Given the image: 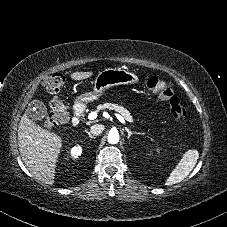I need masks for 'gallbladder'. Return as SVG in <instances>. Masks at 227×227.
Listing matches in <instances>:
<instances>
[{"instance_id": "obj_1", "label": "gallbladder", "mask_w": 227, "mask_h": 227, "mask_svg": "<svg viewBox=\"0 0 227 227\" xmlns=\"http://www.w3.org/2000/svg\"><path fill=\"white\" fill-rule=\"evenodd\" d=\"M47 113L46 106L39 100H33L28 104L27 114L35 120H41Z\"/></svg>"}]
</instances>
